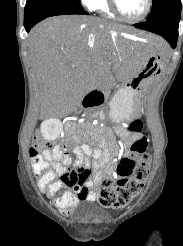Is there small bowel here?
Instances as JSON below:
<instances>
[{"label": "small bowel", "mask_w": 183, "mask_h": 246, "mask_svg": "<svg viewBox=\"0 0 183 246\" xmlns=\"http://www.w3.org/2000/svg\"><path fill=\"white\" fill-rule=\"evenodd\" d=\"M139 131L116 129V133L128 148H131L134 142L141 138ZM78 137L93 143L94 147L87 142H83L80 145L70 147L68 152L65 144H59L51 150L43 152V157L51 162L52 172L59 175V178H78L73 184L67 185L72 190H63L57 200V204L63 213L72 211L80 201H95L97 195L93 190V183L101 179L102 169L111 159L116 146L113 133L107 128L83 131ZM71 154L77 156L74 164H71ZM125 156H131V152L127 151ZM88 157L93 158V165ZM83 170V173H78V171ZM71 171L77 173H66ZM64 185L61 181H57L55 189L46 193L53 195L61 191Z\"/></svg>", "instance_id": "obj_1"}]
</instances>
